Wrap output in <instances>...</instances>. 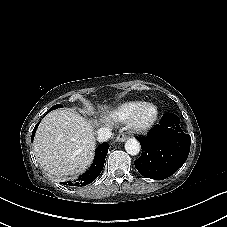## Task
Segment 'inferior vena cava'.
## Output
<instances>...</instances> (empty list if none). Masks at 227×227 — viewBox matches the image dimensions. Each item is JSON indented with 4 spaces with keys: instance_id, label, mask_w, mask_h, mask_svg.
Wrapping results in <instances>:
<instances>
[{
    "instance_id": "1",
    "label": "inferior vena cava",
    "mask_w": 227,
    "mask_h": 227,
    "mask_svg": "<svg viewBox=\"0 0 227 227\" xmlns=\"http://www.w3.org/2000/svg\"><path fill=\"white\" fill-rule=\"evenodd\" d=\"M97 141L106 142L112 135V130L109 127H101L96 131Z\"/></svg>"
}]
</instances>
